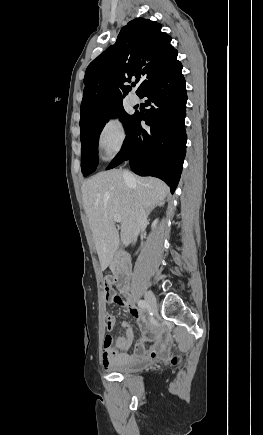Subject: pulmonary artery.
Instances as JSON below:
<instances>
[{"label": "pulmonary artery", "instance_id": "e3ab8cb5", "mask_svg": "<svg viewBox=\"0 0 263 435\" xmlns=\"http://www.w3.org/2000/svg\"><path fill=\"white\" fill-rule=\"evenodd\" d=\"M139 97L137 95H131L129 98V102L132 105H137L139 103Z\"/></svg>", "mask_w": 263, "mask_h": 435}]
</instances>
